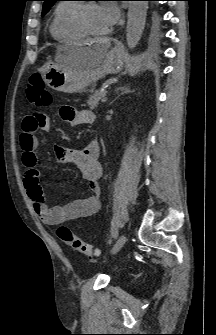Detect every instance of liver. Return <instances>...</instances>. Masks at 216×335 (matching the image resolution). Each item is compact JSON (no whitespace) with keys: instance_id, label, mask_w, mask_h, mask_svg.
<instances>
[{"instance_id":"6515ba94","label":"liver","mask_w":216,"mask_h":335,"mask_svg":"<svg viewBox=\"0 0 216 335\" xmlns=\"http://www.w3.org/2000/svg\"><path fill=\"white\" fill-rule=\"evenodd\" d=\"M93 44L90 52H85L83 45ZM77 52L68 61L67 67L74 71L89 70L99 65L110 47L109 39H94L78 44Z\"/></svg>"}]
</instances>
